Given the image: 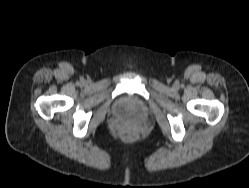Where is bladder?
Listing matches in <instances>:
<instances>
[{
    "mask_svg": "<svg viewBox=\"0 0 249 188\" xmlns=\"http://www.w3.org/2000/svg\"><path fill=\"white\" fill-rule=\"evenodd\" d=\"M115 110L120 115L139 118L145 114L146 106L140 99L127 96L117 101Z\"/></svg>",
    "mask_w": 249,
    "mask_h": 188,
    "instance_id": "obj_1",
    "label": "bladder"
}]
</instances>
